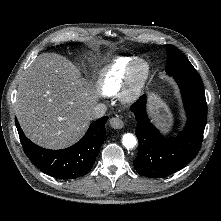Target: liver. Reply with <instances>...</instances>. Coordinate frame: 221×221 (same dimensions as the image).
<instances>
[{
	"instance_id": "obj_1",
	"label": "liver",
	"mask_w": 221,
	"mask_h": 221,
	"mask_svg": "<svg viewBox=\"0 0 221 221\" xmlns=\"http://www.w3.org/2000/svg\"><path fill=\"white\" fill-rule=\"evenodd\" d=\"M98 93L66 58L44 53L21 79L16 101L18 121L39 146L62 149L87 131Z\"/></svg>"
}]
</instances>
